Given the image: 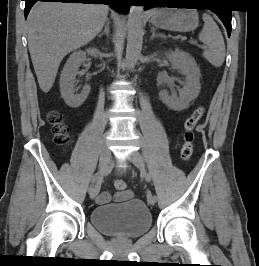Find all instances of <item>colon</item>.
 I'll return each mask as SVG.
<instances>
[{
  "label": "colon",
  "mask_w": 259,
  "mask_h": 266,
  "mask_svg": "<svg viewBox=\"0 0 259 266\" xmlns=\"http://www.w3.org/2000/svg\"><path fill=\"white\" fill-rule=\"evenodd\" d=\"M204 114V108H196L184 122L183 144L180 150V156L183 161H188L193 153V143L195 139L194 129L201 120ZM48 121L52 125L54 140L58 145L67 146L69 143L68 126L63 121L62 114L57 110H52L48 113ZM114 186L118 192L127 190V185L124 180L117 179Z\"/></svg>",
  "instance_id": "1"
}]
</instances>
